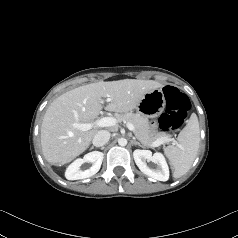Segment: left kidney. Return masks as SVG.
<instances>
[{
	"label": "left kidney",
	"mask_w": 238,
	"mask_h": 238,
	"mask_svg": "<svg viewBox=\"0 0 238 238\" xmlns=\"http://www.w3.org/2000/svg\"><path fill=\"white\" fill-rule=\"evenodd\" d=\"M133 156L138 168L147 176L159 181H167L169 179V168L163 154L156 152L152 155L150 150L136 149L133 152ZM147 162H153L156 167H149Z\"/></svg>",
	"instance_id": "left-kidney-1"
}]
</instances>
